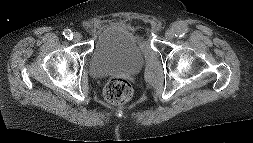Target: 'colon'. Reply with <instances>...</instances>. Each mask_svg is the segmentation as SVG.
Instances as JSON below:
<instances>
[{
  "mask_svg": "<svg viewBox=\"0 0 253 143\" xmlns=\"http://www.w3.org/2000/svg\"><path fill=\"white\" fill-rule=\"evenodd\" d=\"M132 92V86L127 80L114 78L107 83L104 97L111 104H123L131 98Z\"/></svg>",
  "mask_w": 253,
  "mask_h": 143,
  "instance_id": "obj_1",
  "label": "colon"
}]
</instances>
